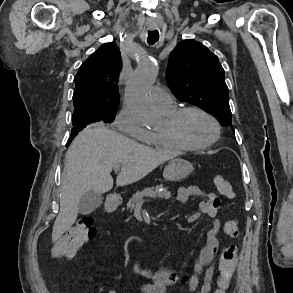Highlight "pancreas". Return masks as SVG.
Returning a JSON list of instances; mask_svg holds the SVG:
<instances>
[{
	"instance_id": "obj_1",
	"label": "pancreas",
	"mask_w": 293,
	"mask_h": 293,
	"mask_svg": "<svg viewBox=\"0 0 293 293\" xmlns=\"http://www.w3.org/2000/svg\"><path fill=\"white\" fill-rule=\"evenodd\" d=\"M162 186L156 187H148L143 189L142 191H137L132 198L127 203V208L132 212L135 208V205L141 201L144 197L146 198H165L170 199L172 197L171 192H159L157 189L161 188Z\"/></svg>"
}]
</instances>
